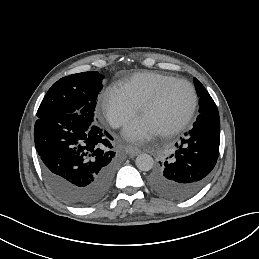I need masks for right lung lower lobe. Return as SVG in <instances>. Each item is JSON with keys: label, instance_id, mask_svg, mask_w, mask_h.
<instances>
[{"label": "right lung lower lobe", "instance_id": "1", "mask_svg": "<svg viewBox=\"0 0 259 259\" xmlns=\"http://www.w3.org/2000/svg\"><path fill=\"white\" fill-rule=\"evenodd\" d=\"M113 138L97 123L72 114H49L34 126L35 148L52 191L78 207L100 201L115 173Z\"/></svg>", "mask_w": 259, "mask_h": 259}]
</instances>
